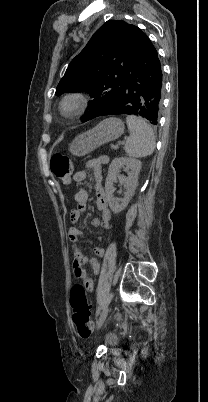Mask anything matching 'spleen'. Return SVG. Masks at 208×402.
<instances>
[{"instance_id":"spleen-1","label":"spleen","mask_w":208,"mask_h":402,"mask_svg":"<svg viewBox=\"0 0 208 402\" xmlns=\"http://www.w3.org/2000/svg\"><path fill=\"white\" fill-rule=\"evenodd\" d=\"M126 124L131 132L124 146L126 154L131 158L151 156L155 150V136L151 126L137 116H127Z\"/></svg>"}]
</instances>
